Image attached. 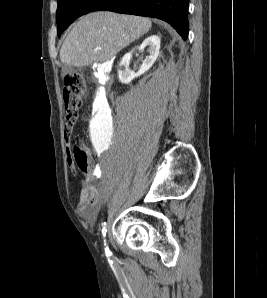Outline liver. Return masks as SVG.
Returning a JSON list of instances; mask_svg holds the SVG:
<instances>
[{
    "instance_id": "liver-1",
    "label": "liver",
    "mask_w": 267,
    "mask_h": 298,
    "mask_svg": "<svg viewBox=\"0 0 267 298\" xmlns=\"http://www.w3.org/2000/svg\"><path fill=\"white\" fill-rule=\"evenodd\" d=\"M151 26V20L145 17L109 11L89 13L79 19L66 37L60 50L61 62L84 67L107 61L146 34Z\"/></svg>"
}]
</instances>
